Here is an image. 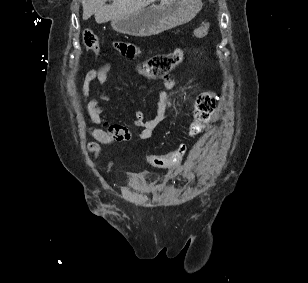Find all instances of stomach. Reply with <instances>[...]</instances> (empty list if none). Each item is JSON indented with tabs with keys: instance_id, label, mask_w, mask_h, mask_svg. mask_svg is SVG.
<instances>
[{
	"instance_id": "1",
	"label": "stomach",
	"mask_w": 308,
	"mask_h": 283,
	"mask_svg": "<svg viewBox=\"0 0 308 283\" xmlns=\"http://www.w3.org/2000/svg\"><path fill=\"white\" fill-rule=\"evenodd\" d=\"M201 0H161L139 11L111 20V27L123 34L146 37L157 35L191 21L202 8Z\"/></svg>"
}]
</instances>
